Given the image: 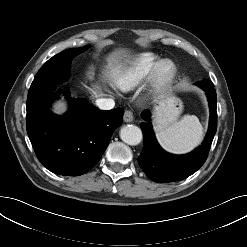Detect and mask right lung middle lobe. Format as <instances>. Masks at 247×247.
Wrapping results in <instances>:
<instances>
[{
    "mask_svg": "<svg viewBox=\"0 0 247 247\" xmlns=\"http://www.w3.org/2000/svg\"><path fill=\"white\" fill-rule=\"evenodd\" d=\"M86 48L87 46L82 48L66 49L53 56L40 68L31 86L44 88L49 84H62L68 78L71 59L85 51Z\"/></svg>",
    "mask_w": 247,
    "mask_h": 247,
    "instance_id": "right-lung-middle-lobe-1",
    "label": "right lung middle lobe"
}]
</instances>
